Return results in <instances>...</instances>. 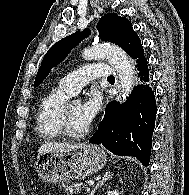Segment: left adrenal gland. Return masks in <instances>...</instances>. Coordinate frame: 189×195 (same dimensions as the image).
<instances>
[{"instance_id": "left-adrenal-gland-1", "label": "left adrenal gland", "mask_w": 189, "mask_h": 195, "mask_svg": "<svg viewBox=\"0 0 189 195\" xmlns=\"http://www.w3.org/2000/svg\"><path fill=\"white\" fill-rule=\"evenodd\" d=\"M113 175L111 174L110 171L106 172L103 177L101 178V180H99L96 185L94 186V188L92 189L91 193L89 195H94L96 190L101 187L106 181L112 179Z\"/></svg>"}]
</instances>
